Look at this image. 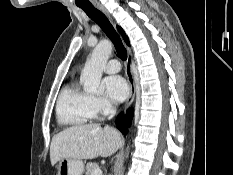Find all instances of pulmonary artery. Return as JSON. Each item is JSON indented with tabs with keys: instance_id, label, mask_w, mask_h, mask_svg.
I'll use <instances>...</instances> for the list:
<instances>
[{
	"instance_id": "pulmonary-artery-1",
	"label": "pulmonary artery",
	"mask_w": 233,
	"mask_h": 175,
	"mask_svg": "<svg viewBox=\"0 0 233 175\" xmlns=\"http://www.w3.org/2000/svg\"><path fill=\"white\" fill-rule=\"evenodd\" d=\"M121 65L120 62L116 59H111L107 62L105 66L106 73H117L120 71Z\"/></svg>"
}]
</instances>
